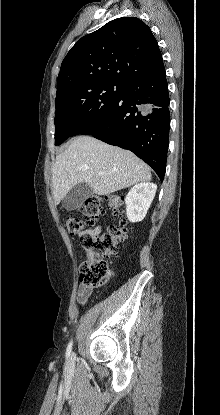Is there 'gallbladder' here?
I'll list each match as a JSON object with an SVG mask.
<instances>
[{
    "mask_svg": "<svg viewBox=\"0 0 220 415\" xmlns=\"http://www.w3.org/2000/svg\"><path fill=\"white\" fill-rule=\"evenodd\" d=\"M92 194L93 190L90 185L85 182L79 183L63 198L62 206L68 211L78 209Z\"/></svg>",
    "mask_w": 220,
    "mask_h": 415,
    "instance_id": "obj_1",
    "label": "gallbladder"
}]
</instances>
